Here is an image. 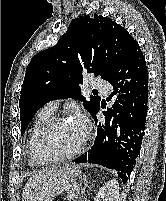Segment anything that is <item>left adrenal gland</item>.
Returning <instances> with one entry per match:
<instances>
[{
    "mask_svg": "<svg viewBox=\"0 0 166 201\" xmlns=\"http://www.w3.org/2000/svg\"><path fill=\"white\" fill-rule=\"evenodd\" d=\"M82 182L84 183V185L86 186V176H84V178L82 179Z\"/></svg>",
    "mask_w": 166,
    "mask_h": 201,
    "instance_id": "1",
    "label": "left adrenal gland"
}]
</instances>
